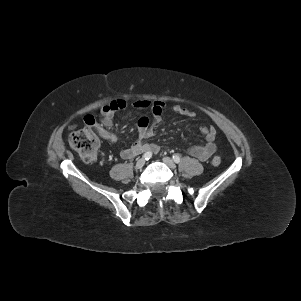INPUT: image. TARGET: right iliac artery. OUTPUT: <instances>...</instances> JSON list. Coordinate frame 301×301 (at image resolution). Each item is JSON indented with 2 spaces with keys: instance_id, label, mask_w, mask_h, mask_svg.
<instances>
[{
  "instance_id": "obj_1",
  "label": "right iliac artery",
  "mask_w": 301,
  "mask_h": 301,
  "mask_svg": "<svg viewBox=\"0 0 301 301\" xmlns=\"http://www.w3.org/2000/svg\"><path fill=\"white\" fill-rule=\"evenodd\" d=\"M152 157V153L151 152H146V153H144V155H143V158L145 159V160H149L150 158Z\"/></svg>"
}]
</instances>
